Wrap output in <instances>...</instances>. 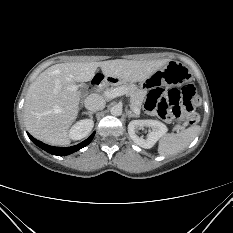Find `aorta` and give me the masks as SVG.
I'll return each instance as SVG.
<instances>
[{
    "label": "aorta",
    "instance_id": "762f6f07",
    "mask_svg": "<svg viewBox=\"0 0 233 233\" xmlns=\"http://www.w3.org/2000/svg\"><path fill=\"white\" fill-rule=\"evenodd\" d=\"M110 112L113 116H120L122 114V106L115 105L111 108Z\"/></svg>",
    "mask_w": 233,
    "mask_h": 233
}]
</instances>
